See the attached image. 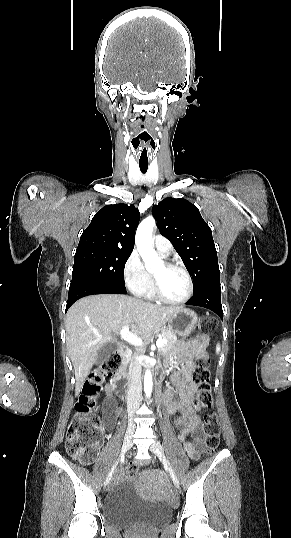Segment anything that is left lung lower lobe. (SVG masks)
Masks as SVG:
<instances>
[{"label":"left lung lower lobe","mask_w":291,"mask_h":538,"mask_svg":"<svg viewBox=\"0 0 291 538\" xmlns=\"http://www.w3.org/2000/svg\"><path fill=\"white\" fill-rule=\"evenodd\" d=\"M186 304L210 309L223 319L220 281H215L207 285L197 294H194Z\"/></svg>","instance_id":"1"}]
</instances>
